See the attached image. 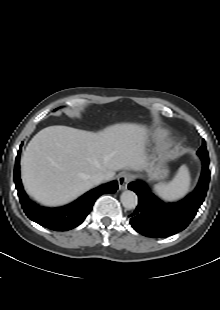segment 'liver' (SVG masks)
Returning <instances> with one entry per match:
<instances>
[{
  "label": "liver",
  "mask_w": 220,
  "mask_h": 310,
  "mask_svg": "<svg viewBox=\"0 0 220 310\" xmlns=\"http://www.w3.org/2000/svg\"><path fill=\"white\" fill-rule=\"evenodd\" d=\"M148 130L133 123L114 124L97 133L49 126L29 142L21 161L25 190L46 206L71 202L95 184L91 176L146 166Z\"/></svg>",
  "instance_id": "1"
}]
</instances>
